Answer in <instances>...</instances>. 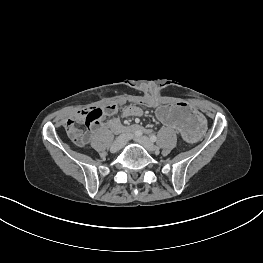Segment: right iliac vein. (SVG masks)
<instances>
[{"instance_id":"63e3f726","label":"right iliac vein","mask_w":263,"mask_h":263,"mask_svg":"<svg viewBox=\"0 0 263 263\" xmlns=\"http://www.w3.org/2000/svg\"><path fill=\"white\" fill-rule=\"evenodd\" d=\"M131 136L132 135L130 133H124L120 135L119 137H117L111 145V148H110L111 151L115 152L121 149L127 143V141L131 138Z\"/></svg>"}]
</instances>
